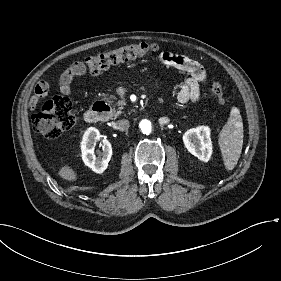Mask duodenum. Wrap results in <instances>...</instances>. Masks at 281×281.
I'll return each instance as SVG.
<instances>
[{
	"mask_svg": "<svg viewBox=\"0 0 281 281\" xmlns=\"http://www.w3.org/2000/svg\"><path fill=\"white\" fill-rule=\"evenodd\" d=\"M108 111V106L104 101H96L85 113V121L95 124L100 121Z\"/></svg>",
	"mask_w": 281,
	"mask_h": 281,
	"instance_id": "410a0bca",
	"label": "duodenum"
}]
</instances>
